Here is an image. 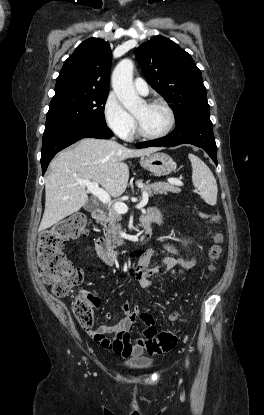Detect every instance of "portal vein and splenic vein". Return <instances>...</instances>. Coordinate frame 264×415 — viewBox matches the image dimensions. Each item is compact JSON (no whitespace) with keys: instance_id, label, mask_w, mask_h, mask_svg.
I'll return each mask as SVG.
<instances>
[{"instance_id":"18ae733b","label":"portal vein and splenic vein","mask_w":264,"mask_h":415,"mask_svg":"<svg viewBox=\"0 0 264 415\" xmlns=\"http://www.w3.org/2000/svg\"><path fill=\"white\" fill-rule=\"evenodd\" d=\"M81 185H85L89 192H91L94 196H96L102 203L108 204L111 200L110 195L102 188L99 187L98 183L90 182V181H79ZM169 183L182 186L183 183L177 179L169 180ZM148 203V193L144 192L142 194V200L136 206V208L140 209ZM113 208L116 212L120 214H125L128 211V206L123 202H115L113 204Z\"/></svg>"}]
</instances>
